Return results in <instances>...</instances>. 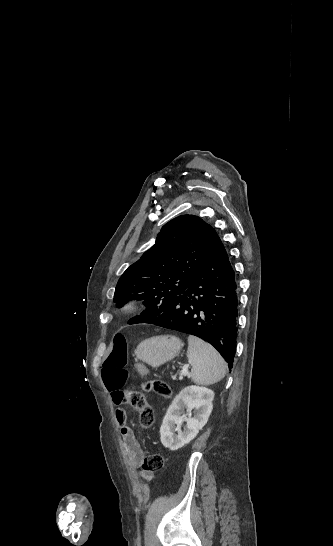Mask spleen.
<instances>
[{"label":"spleen","instance_id":"spleen-1","mask_svg":"<svg viewBox=\"0 0 333 546\" xmlns=\"http://www.w3.org/2000/svg\"><path fill=\"white\" fill-rule=\"evenodd\" d=\"M187 357L192 365L193 382L209 385L222 380L226 374V363L221 355L202 339L189 336Z\"/></svg>","mask_w":333,"mask_h":546}]
</instances>
